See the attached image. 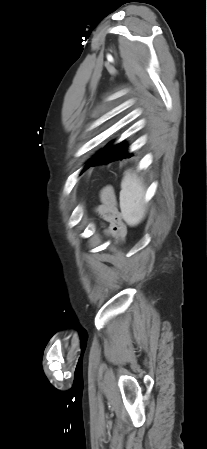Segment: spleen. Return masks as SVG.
<instances>
[{
  "label": "spleen",
  "instance_id": "1",
  "mask_svg": "<svg viewBox=\"0 0 207 449\" xmlns=\"http://www.w3.org/2000/svg\"><path fill=\"white\" fill-rule=\"evenodd\" d=\"M145 186L140 178L127 171L121 182L120 208L129 226L138 225L145 217Z\"/></svg>",
  "mask_w": 207,
  "mask_h": 449
}]
</instances>
